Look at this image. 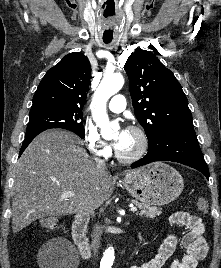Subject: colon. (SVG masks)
I'll return each instance as SVG.
<instances>
[{
	"mask_svg": "<svg viewBox=\"0 0 221 268\" xmlns=\"http://www.w3.org/2000/svg\"><path fill=\"white\" fill-rule=\"evenodd\" d=\"M197 208L199 209V211L203 213H207L209 210L208 201L203 197L198 198ZM56 226H57V219L55 217H52V216L45 217L41 220V227L43 229H54Z\"/></svg>",
	"mask_w": 221,
	"mask_h": 268,
	"instance_id": "1",
	"label": "colon"
}]
</instances>
